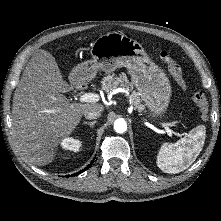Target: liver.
<instances>
[{"label":"liver","instance_id":"1","mask_svg":"<svg viewBox=\"0 0 221 221\" xmlns=\"http://www.w3.org/2000/svg\"><path fill=\"white\" fill-rule=\"evenodd\" d=\"M56 75L61 78L55 58L46 50H36L13 97L12 125L17 148L38 166L53 160L62 140L73 133L85 111H103L96 102L70 103L57 89Z\"/></svg>","mask_w":221,"mask_h":221}]
</instances>
